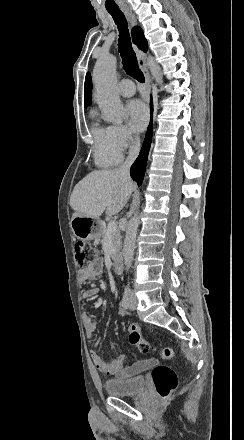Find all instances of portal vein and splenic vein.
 Here are the masks:
<instances>
[{
    "instance_id": "portal-vein-and-splenic-vein-1",
    "label": "portal vein and splenic vein",
    "mask_w": 244,
    "mask_h": 440,
    "mask_svg": "<svg viewBox=\"0 0 244 440\" xmlns=\"http://www.w3.org/2000/svg\"><path fill=\"white\" fill-rule=\"evenodd\" d=\"M115 230H117V224L115 220H111V222H108L107 232H115Z\"/></svg>"
}]
</instances>
